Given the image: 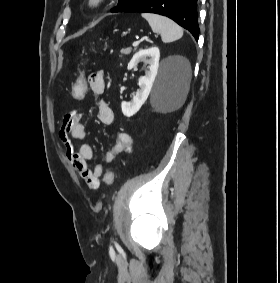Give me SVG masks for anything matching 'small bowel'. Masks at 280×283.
Wrapping results in <instances>:
<instances>
[{
  "instance_id": "obj_1",
  "label": "small bowel",
  "mask_w": 280,
  "mask_h": 283,
  "mask_svg": "<svg viewBox=\"0 0 280 283\" xmlns=\"http://www.w3.org/2000/svg\"><path fill=\"white\" fill-rule=\"evenodd\" d=\"M91 92L100 96L105 91L104 76L101 71L95 72L89 77ZM83 113L73 110L66 114L62 120L59 131V138L64 145L65 155L73 168L85 181L91 190H96L100 185V178L105 174V165L97 163L90 168L88 161L93 158V148L88 143H82L76 150L73 141L82 142L86 139L87 133L83 124ZM98 120L103 125H111L114 121V114L110 106L103 100L98 101ZM132 138L126 132H119L116 135L115 143L111 149L104 154V161L111 163L122 153L132 151Z\"/></svg>"
}]
</instances>
